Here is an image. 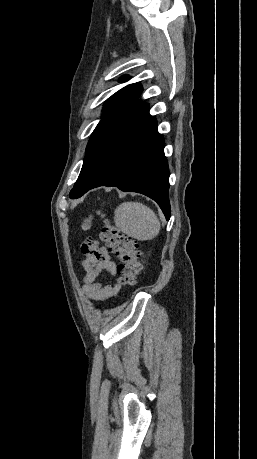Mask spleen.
<instances>
[{
  "mask_svg": "<svg viewBox=\"0 0 257 459\" xmlns=\"http://www.w3.org/2000/svg\"><path fill=\"white\" fill-rule=\"evenodd\" d=\"M116 227L132 238L146 241L160 231V221L152 209L140 202H123L115 210Z\"/></svg>",
  "mask_w": 257,
  "mask_h": 459,
  "instance_id": "3e777b00",
  "label": "spleen"
}]
</instances>
